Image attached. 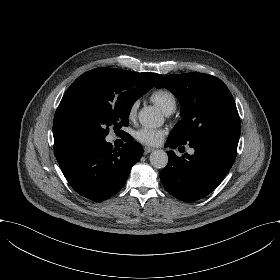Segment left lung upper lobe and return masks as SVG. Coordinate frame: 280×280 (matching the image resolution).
Here are the masks:
<instances>
[{
	"mask_svg": "<svg viewBox=\"0 0 280 280\" xmlns=\"http://www.w3.org/2000/svg\"><path fill=\"white\" fill-rule=\"evenodd\" d=\"M156 87L171 91L181 105L182 119L169 137L182 144L204 138L240 137L235 101L217 77L200 73L168 75Z\"/></svg>",
	"mask_w": 280,
	"mask_h": 280,
	"instance_id": "left-lung-upper-lobe-1",
	"label": "left lung upper lobe"
}]
</instances>
